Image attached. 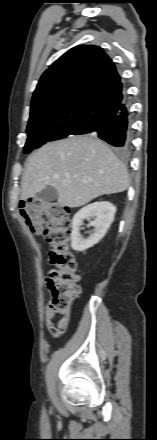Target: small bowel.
Segmentation results:
<instances>
[{
	"label": "small bowel",
	"mask_w": 157,
	"mask_h": 440,
	"mask_svg": "<svg viewBox=\"0 0 157 440\" xmlns=\"http://www.w3.org/2000/svg\"><path fill=\"white\" fill-rule=\"evenodd\" d=\"M44 314H45V319H44L45 325L49 329L52 336L59 337L60 335L65 333L68 327L69 318L62 317L55 326L52 322V319L55 318L56 316L52 313L49 306L45 307Z\"/></svg>",
	"instance_id": "1"
}]
</instances>
